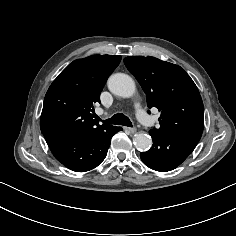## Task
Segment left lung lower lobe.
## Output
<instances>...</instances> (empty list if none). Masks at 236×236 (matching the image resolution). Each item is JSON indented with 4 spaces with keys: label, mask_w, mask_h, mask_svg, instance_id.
<instances>
[{
    "label": "left lung lower lobe",
    "mask_w": 236,
    "mask_h": 236,
    "mask_svg": "<svg viewBox=\"0 0 236 236\" xmlns=\"http://www.w3.org/2000/svg\"><path fill=\"white\" fill-rule=\"evenodd\" d=\"M153 139L150 150L141 152L143 163L151 169L167 172L179 166L194 150L202 133L173 132L159 133L150 130Z\"/></svg>",
    "instance_id": "left-lung-lower-lobe-1"
}]
</instances>
